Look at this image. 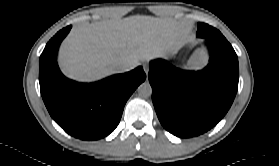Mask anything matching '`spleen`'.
Returning a JSON list of instances; mask_svg holds the SVG:
<instances>
[{"mask_svg":"<svg viewBox=\"0 0 279 166\" xmlns=\"http://www.w3.org/2000/svg\"><path fill=\"white\" fill-rule=\"evenodd\" d=\"M208 63V55L204 48L198 49L190 63L192 69H201Z\"/></svg>","mask_w":279,"mask_h":166,"instance_id":"3e777b00","label":"spleen"}]
</instances>
